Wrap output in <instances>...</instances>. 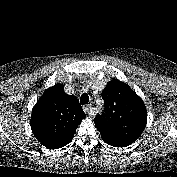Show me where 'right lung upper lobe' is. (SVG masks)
Wrapping results in <instances>:
<instances>
[{
  "label": "right lung upper lobe",
  "instance_id": "cb5924a9",
  "mask_svg": "<svg viewBox=\"0 0 177 177\" xmlns=\"http://www.w3.org/2000/svg\"><path fill=\"white\" fill-rule=\"evenodd\" d=\"M63 87L58 83L45 90L32 110V133L50 149L71 142L78 125L86 117L77 98L67 95Z\"/></svg>",
  "mask_w": 177,
  "mask_h": 177
}]
</instances>
